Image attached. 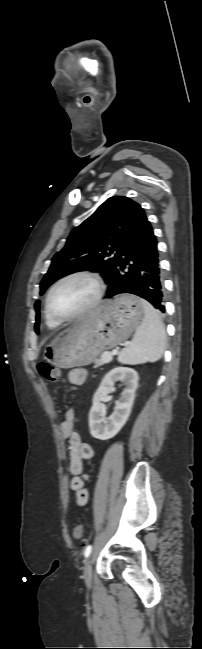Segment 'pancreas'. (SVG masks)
Instances as JSON below:
<instances>
[{"label":"pancreas","mask_w":202,"mask_h":649,"mask_svg":"<svg viewBox=\"0 0 202 649\" xmlns=\"http://www.w3.org/2000/svg\"><path fill=\"white\" fill-rule=\"evenodd\" d=\"M104 364H105V362H103V361L101 360V358H100V359H96V360H95V366H94V368H98V367H100V366H102V365H104Z\"/></svg>","instance_id":"cf45deb5"}]
</instances>
